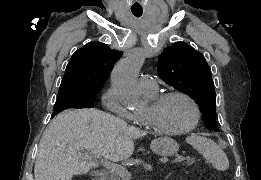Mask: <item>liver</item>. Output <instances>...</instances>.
<instances>
[{
  "instance_id": "6515ba94",
  "label": "liver",
  "mask_w": 261,
  "mask_h": 180,
  "mask_svg": "<svg viewBox=\"0 0 261 180\" xmlns=\"http://www.w3.org/2000/svg\"><path fill=\"white\" fill-rule=\"evenodd\" d=\"M147 134L96 108L64 110L51 120L42 136L35 180H72L73 176L98 168L96 158L127 160L134 152V140Z\"/></svg>"
}]
</instances>
